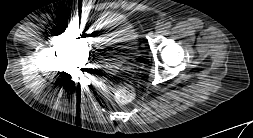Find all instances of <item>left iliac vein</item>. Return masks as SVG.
<instances>
[{
  "mask_svg": "<svg viewBox=\"0 0 253 138\" xmlns=\"http://www.w3.org/2000/svg\"><path fill=\"white\" fill-rule=\"evenodd\" d=\"M162 29H163L162 27H158V28L156 29V31L159 33V32H161Z\"/></svg>",
  "mask_w": 253,
  "mask_h": 138,
  "instance_id": "obj_1",
  "label": "left iliac vein"
}]
</instances>
